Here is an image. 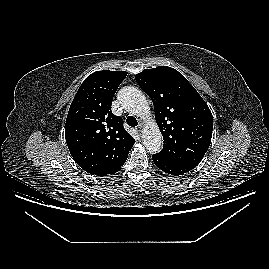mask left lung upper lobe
Segmentation results:
<instances>
[{"label":"left lung upper lobe","instance_id":"left-lung-upper-lobe-1","mask_svg":"<svg viewBox=\"0 0 269 269\" xmlns=\"http://www.w3.org/2000/svg\"><path fill=\"white\" fill-rule=\"evenodd\" d=\"M136 81L150 96L164 139L156 155L166 161L196 167L212 138V113L187 79L177 70L159 66L145 69Z\"/></svg>","mask_w":269,"mask_h":269}]
</instances>
